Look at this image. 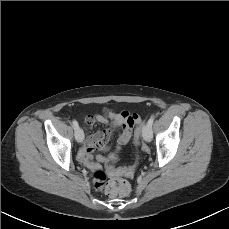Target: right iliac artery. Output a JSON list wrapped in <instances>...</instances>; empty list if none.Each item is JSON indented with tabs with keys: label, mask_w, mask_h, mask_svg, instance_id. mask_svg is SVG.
Returning <instances> with one entry per match:
<instances>
[{
	"label": "right iliac artery",
	"mask_w": 229,
	"mask_h": 229,
	"mask_svg": "<svg viewBox=\"0 0 229 229\" xmlns=\"http://www.w3.org/2000/svg\"><path fill=\"white\" fill-rule=\"evenodd\" d=\"M72 126L74 127L75 130L79 128L78 122L76 120L72 121Z\"/></svg>",
	"instance_id": "82829eb1"
}]
</instances>
